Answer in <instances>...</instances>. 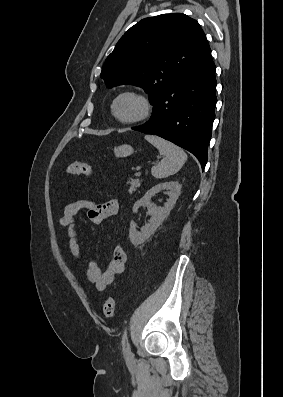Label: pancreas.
Returning a JSON list of instances; mask_svg holds the SVG:
<instances>
[{
    "instance_id": "pancreas-1",
    "label": "pancreas",
    "mask_w": 283,
    "mask_h": 397,
    "mask_svg": "<svg viewBox=\"0 0 283 397\" xmlns=\"http://www.w3.org/2000/svg\"><path fill=\"white\" fill-rule=\"evenodd\" d=\"M127 184H130V192H135L137 188L141 185V181L139 179H131L127 182Z\"/></svg>"
}]
</instances>
